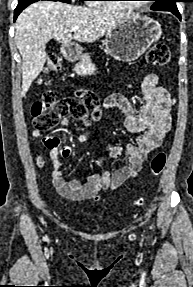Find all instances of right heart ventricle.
<instances>
[{
    "mask_svg": "<svg viewBox=\"0 0 193 287\" xmlns=\"http://www.w3.org/2000/svg\"><path fill=\"white\" fill-rule=\"evenodd\" d=\"M111 1H106L104 3H101L97 5V7L102 8V9H108V10H126V8L122 7L118 3H107Z\"/></svg>",
    "mask_w": 193,
    "mask_h": 287,
    "instance_id": "1",
    "label": "right heart ventricle"
}]
</instances>
